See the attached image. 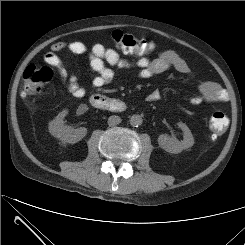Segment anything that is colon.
<instances>
[{"label":"colon","mask_w":245,"mask_h":245,"mask_svg":"<svg viewBox=\"0 0 245 245\" xmlns=\"http://www.w3.org/2000/svg\"><path fill=\"white\" fill-rule=\"evenodd\" d=\"M113 43L123 52L140 56H149L154 51V44L144 38L116 30L111 35ZM52 79V70L48 67L30 65L23 74V87L21 94L25 98H34L36 94ZM212 137L220 136L228 126V117L222 111L212 113L210 122Z\"/></svg>","instance_id":"1"}]
</instances>
